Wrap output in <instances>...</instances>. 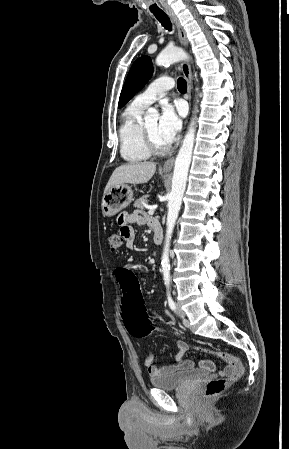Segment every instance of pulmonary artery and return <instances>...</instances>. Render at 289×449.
<instances>
[{"label": "pulmonary artery", "instance_id": "obj_1", "mask_svg": "<svg viewBox=\"0 0 289 449\" xmlns=\"http://www.w3.org/2000/svg\"><path fill=\"white\" fill-rule=\"evenodd\" d=\"M174 81L170 77H159L155 79L149 87L139 95H137L132 104L135 106L146 108L153 102L165 95L166 91L172 89Z\"/></svg>", "mask_w": 289, "mask_h": 449}]
</instances>
